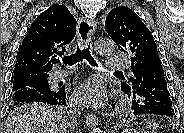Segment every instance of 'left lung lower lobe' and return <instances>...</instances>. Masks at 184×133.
I'll return each mask as SVG.
<instances>
[{
    "mask_svg": "<svg viewBox=\"0 0 184 133\" xmlns=\"http://www.w3.org/2000/svg\"><path fill=\"white\" fill-rule=\"evenodd\" d=\"M146 74L140 86L125 92L132 97V112L134 115L155 114L173 117L172 102L169 97L167 83L164 77L159 55L153 52L146 63Z\"/></svg>",
    "mask_w": 184,
    "mask_h": 133,
    "instance_id": "left-lung-lower-lobe-1",
    "label": "left lung lower lobe"
}]
</instances>
